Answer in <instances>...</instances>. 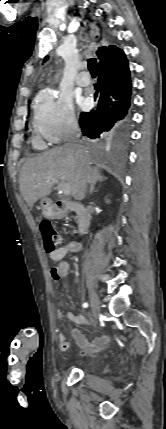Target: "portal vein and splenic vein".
Masks as SVG:
<instances>
[{
    "label": "portal vein and splenic vein",
    "mask_w": 166,
    "mask_h": 429,
    "mask_svg": "<svg viewBox=\"0 0 166 429\" xmlns=\"http://www.w3.org/2000/svg\"><path fill=\"white\" fill-rule=\"evenodd\" d=\"M55 183L58 182L57 180H53ZM60 191L65 194V195H69L71 193V188L70 185L67 183H64L60 186Z\"/></svg>",
    "instance_id": "obj_1"
}]
</instances>
